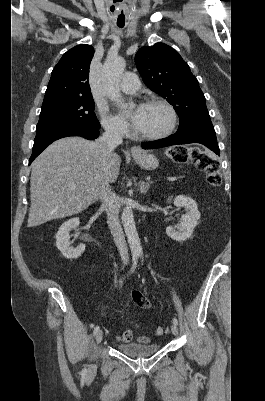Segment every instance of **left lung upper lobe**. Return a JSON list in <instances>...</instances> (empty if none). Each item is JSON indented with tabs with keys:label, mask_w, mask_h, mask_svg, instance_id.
<instances>
[{
	"label": "left lung upper lobe",
	"mask_w": 265,
	"mask_h": 401,
	"mask_svg": "<svg viewBox=\"0 0 265 401\" xmlns=\"http://www.w3.org/2000/svg\"><path fill=\"white\" fill-rule=\"evenodd\" d=\"M135 63L146 86L174 106L180 118L179 128L210 119L198 80L172 47L164 43L142 47L135 55Z\"/></svg>",
	"instance_id": "5c2ea615"
}]
</instances>
